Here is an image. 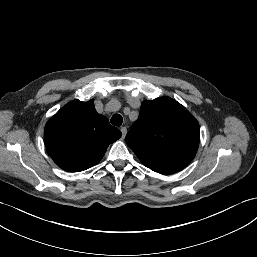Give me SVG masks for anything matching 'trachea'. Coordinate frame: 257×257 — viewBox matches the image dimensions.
Masks as SVG:
<instances>
[{
	"label": "trachea",
	"mask_w": 257,
	"mask_h": 257,
	"mask_svg": "<svg viewBox=\"0 0 257 257\" xmlns=\"http://www.w3.org/2000/svg\"><path fill=\"white\" fill-rule=\"evenodd\" d=\"M122 122H123V119L120 114H114L111 118V124L114 126H121Z\"/></svg>",
	"instance_id": "obj_1"
}]
</instances>
